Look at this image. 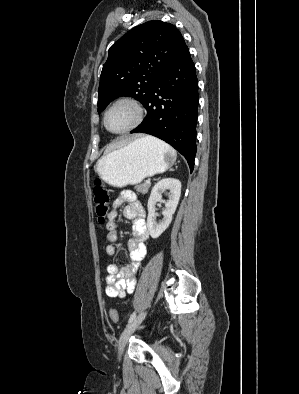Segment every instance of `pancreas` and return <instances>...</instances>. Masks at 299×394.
<instances>
[{
  "label": "pancreas",
  "instance_id": "cf45deb5",
  "mask_svg": "<svg viewBox=\"0 0 299 394\" xmlns=\"http://www.w3.org/2000/svg\"><path fill=\"white\" fill-rule=\"evenodd\" d=\"M149 187H150V184L144 183V184L137 185L135 187V190L141 194H146L148 192Z\"/></svg>",
  "mask_w": 299,
  "mask_h": 394
}]
</instances>
